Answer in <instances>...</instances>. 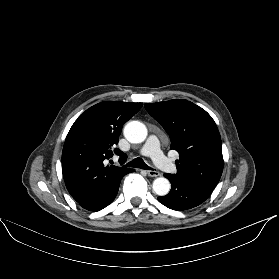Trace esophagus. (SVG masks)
Here are the masks:
<instances>
[{
    "instance_id": "esophagus-1",
    "label": "esophagus",
    "mask_w": 279,
    "mask_h": 279,
    "mask_svg": "<svg viewBox=\"0 0 279 279\" xmlns=\"http://www.w3.org/2000/svg\"><path fill=\"white\" fill-rule=\"evenodd\" d=\"M146 172H147L148 176H150V177L160 176V173L158 171H155V170H147Z\"/></svg>"
}]
</instances>
